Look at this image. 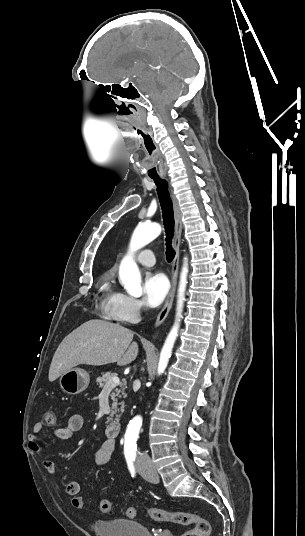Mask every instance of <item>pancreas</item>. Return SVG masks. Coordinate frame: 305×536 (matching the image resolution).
<instances>
[{
    "label": "pancreas",
    "mask_w": 305,
    "mask_h": 536,
    "mask_svg": "<svg viewBox=\"0 0 305 536\" xmlns=\"http://www.w3.org/2000/svg\"><path fill=\"white\" fill-rule=\"evenodd\" d=\"M114 376L115 374H111V372H107V374H102L101 378H97L96 380L97 384H99V388H103L104 384H107V382H110L111 378H114ZM117 386H119V384H116V386H114V390L112 394H110L111 400H112V412L110 414V418H108V420H113V416L114 414H116L115 416L116 424H118L119 418L121 416V414H118V412H120L118 406H122L121 412H123V408H124V402H118V400H120V398H126L127 396V394H125V388H124V386H126V382H123L120 388H117Z\"/></svg>",
    "instance_id": "obj_1"
}]
</instances>
